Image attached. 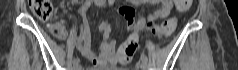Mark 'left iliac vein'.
I'll return each mask as SVG.
<instances>
[{"label":"left iliac vein","mask_w":238,"mask_h":70,"mask_svg":"<svg viewBox=\"0 0 238 70\" xmlns=\"http://www.w3.org/2000/svg\"><path fill=\"white\" fill-rule=\"evenodd\" d=\"M139 67H140V69L145 70L146 67H147V65H146L145 62L142 61V62L139 64Z\"/></svg>","instance_id":"4c4485c4"}]
</instances>
